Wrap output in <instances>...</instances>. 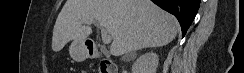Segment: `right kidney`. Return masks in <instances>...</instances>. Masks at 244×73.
<instances>
[{
    "label": "right kidney",
    "mask_w": 244,
    "mask_h": 73,
    "mask_svg": "<svg viewBox=\"0 0 244 73\" xmlns=\"http://www.w3.org/2000/svg\"><path fill=\"white\" fill-rule=\"evenodd\" d=\"M158 55L154 52H148L141 55L133 64V73H156L158 67Z\"/></svg>",
    "instance_id": "1"
}]
</instances>
